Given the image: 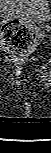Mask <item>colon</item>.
Instances as JSON below:
<instances>
[{
	"mask_svg": "<svg viewBox=\"0 0 51 153\" xmlns=\"http://www.w3.org/2000/svg\"><path fill=\"white\" fill-rule=\"evenodd\" d=\"M2 42L5 50L13 58H22L35 45L34 32L19 20H12L3 26Z\"/></svg>",
	"mask_w": 51,
	"mask_h": 153,
	"instance_id": "colon-1",
	"label": "colon"
}]
</instances>
